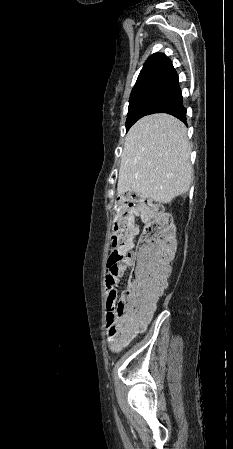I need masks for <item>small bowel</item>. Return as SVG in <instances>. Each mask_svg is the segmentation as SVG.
<instances>
[{
	"mask_svg": "<svg viewBox=\"0 0 233 449\" xmlns=\"http://www.w3.org/2000/svg\"><path fill=\"white\" fill-rule=\"evenodd\" d=\"M139 229L136 226V233ZM132 265V259L128 258L125 261L111 265L105 277V290L107 294V307L109 312L112 311L118 299V283L120 278L124 275L126 269ZM111 346L117 348L114 342L110 339Z\"/></svg>",
	"mask_w": 233,
	"mask_h": 449,
	"instance_id": "obj_1",
	"label": "small bowel"
}]
</instances>
